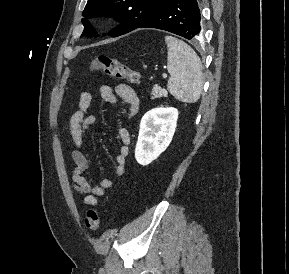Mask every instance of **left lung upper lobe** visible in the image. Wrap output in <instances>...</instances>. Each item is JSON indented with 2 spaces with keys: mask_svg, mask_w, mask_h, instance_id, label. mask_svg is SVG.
Masks as SVG:
<instances>
[{
  "mask_svg": "<svg viewBox=\"0 0 289 274\" xmlns=\"http://www.w3.org/2000/svg\"><path fill=\"white\" fill-rule=\"evenodd\" d=\"M165 0H88L83 11L84 31L81 36L97 37L93 26L87 21L91 17H114L122 24L109 32L117 37L136 29Z\"/></svg>",
  "mask_w": 289,
  "mask_h": 274,
  "instance_id": "left-lung-upper-lobe-1",
  "label": "left lung upper lobe"
}]
</instances>
